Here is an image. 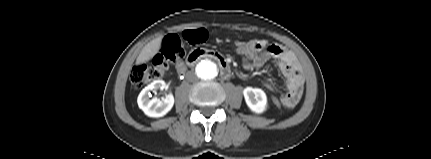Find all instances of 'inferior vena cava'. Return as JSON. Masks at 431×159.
<instances>
[{"mask_svg":"<svg viewBox=\"0 0 431 159\" xmlns=\"http://www.w3.org/2000/svg\"><path fill=\"white\" fill-rule=\"evenodd\" d=\"M187 78H188V80H191V81H194V80H196L197 79V77L194 75V73H192V72H189L188 74H187Z\"/></svg>","mask_w":431,"mask_h":159,"instance_id":"1","label":"inferior vena cava"}]
</instances>
